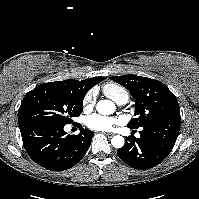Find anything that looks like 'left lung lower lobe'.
Listing matches in <instances>:
<instances>
[{
  "label": "left lung lower lobe",
  "instance_id": "obj_1",
  "mask_svg": "<svg viewBox=\"0 0 199 199\" xmlns=\"http://www.w3.org/2000/svg\"><path fill=\"white\" fill-rule=\"evenodd\" d=\"M180 123L181 117L171 116L142 127L140 138L133 135L126 137L125 145L117 150V155L135 169L155 167L171 152L179 134Z\"/></svg>",
  "mask_w": 199,
  "mask_h": 199
}]
</instances>
